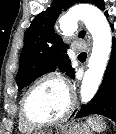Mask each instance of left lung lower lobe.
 <instances>
[{
    "label": "left lung lower lobe",
    "mask_w": 116,
    "mask_h": 134,
    "mask_svg": "<svg viewBox=\"0 0 116 134\" xmlns=\"http://www.w3.org/2000/svg\"><path fill=\"white\" fill-rule=\"evenodd\" d=\"M108 16V13L105 12ZM113 29V25H111ZM94 114L104 115L116 122V39L113 38L112 52L101 86L95 96L82 105L76 118ZM74 115V114H73Z\"/></svg>",
    "instance_id": "left-lung-lower-lobe-1"
}]
</instances>
